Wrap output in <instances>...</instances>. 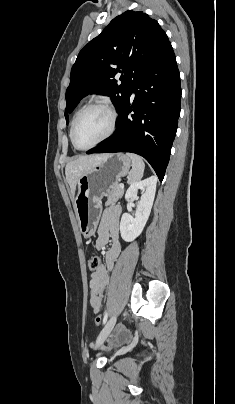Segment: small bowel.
Segmentation results:
<instances>
[{
    "label": "small bowel",
    "mask_w": 235,
    "mask_h": 404,
    "mask_svg": "<svg viewBox=\"0 0 235 404\" xmlns=\"http://www.w3.org/2000/svg\"><path fill=\"white\" fill-rule=\"evenodd\" d=\"M121 209L117 206L109 207L104 211L101 218L96 239V248L105 251V263L91 274L89 282L90 295L89 303L94 313H99L102 307L103 294L109 283V271L115 265V262L121 252V245L118 240L119 220Z\"/></svg>",
    "instance_id": "obj_1"
}]
</instances>
